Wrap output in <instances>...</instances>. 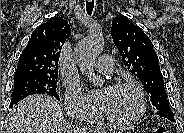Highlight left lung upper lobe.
<instances>
[{
  "label": "left lung upper lobe",
  "mask_w": 184,
  "mask_h": 133,
  "mask_svg": "<svg viewBox=\"0 0 184 133\" xmlns=\"http://www.w3.org/2000/svg\"><path fill=\"white\" fill-rule=\"evenodd\" d=\"M111 35L123 63L138 77L157 109L170 108L158 57L149 37L126 16L112 21Z\"/></svg>",
  "instance_id": "obj_1"
}]
</instances>
